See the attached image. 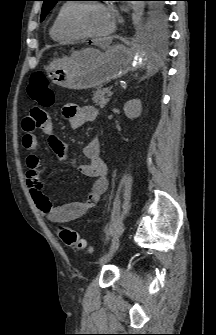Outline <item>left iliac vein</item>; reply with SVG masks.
Masks as SVG:
<instances>
[{"mask_svg": "<svg viewBox=\"0 0 216 335\" xmlns=\"http://www.w3.org/2000/svg\"><path fill=\"white\" fill-rule=\"evenodd\" d=\"M114 253H115V251H111V252H108V253L104 254L99 260L100 265H103V264L109 262L112 259V257L114 256Z\"/></svg>", "mask_w": 216, "mask_h": 335, "instance_id": "obj_1", "label": "left iliac vein"}]
</instances>
